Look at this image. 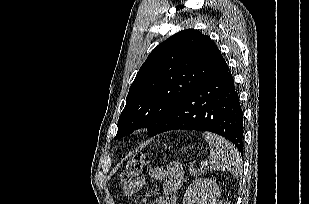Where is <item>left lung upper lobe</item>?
<instances>
[{
    "mask_svg": "<svg viewBox=\"0 0 309 204\" xmlns=\"http://www.w3.org/2000/svg\"><path fill=\"white\" fill-rule=\"evenodd\" d=\"M224 62L214 42L198 30L180 31L160 43L129 89L114 139L141 127H147L151 136L171 111Z\"/></svg>",
    "mask_w": 309,
    "mask_h": 204,
    "instance_id": "left-lung-upper-lobe-1",
    "label": "left lung upper lobe"
}]
</instances>
